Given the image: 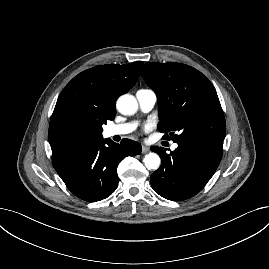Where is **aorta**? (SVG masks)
I'll use <instances>...</instances> for the list:
<instances>
[{
  "label": "aorta",
  "instance_id": "1",
  "mask_svg": "<svg viewBox=\"0 0 269 269\" xmlns=\"http://www.w3.org/2000/svg\"><path fill=\"white\" fill-rule=\"evenodd\" d=\"M117 110L123 115H133L138 110V103L134 96L125 94L118 98ZM144 165L149 170H157L160 167L161 159L158 154L151 152L143 159Z\"/></svg>",
  "mask_w": 269,
  "mask_h": 269
}]
</instances>
